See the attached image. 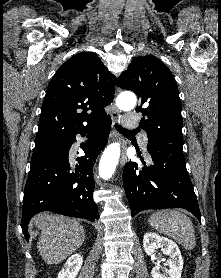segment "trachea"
I'll list each match as a JSON object with an SVG mask.
<instances>
[{
  "label": "trachea",
  "instance_id": "1",
  "mask_svg": "<svg viewBox=\"0 0 221 278\" xmlns=\"http://www.w3.org/2000/svg\"><path fill=\"white\" fill-rule=\"evenodd\" d=\"M115 128L121 134H135V133L138 132L137 130H128V129H125V128L121 127L118 124L115 125Z\"/></svg>",
  "mask_w": 221,
  "mask_h": 278
}]
</instances>
